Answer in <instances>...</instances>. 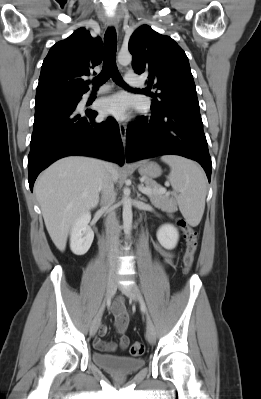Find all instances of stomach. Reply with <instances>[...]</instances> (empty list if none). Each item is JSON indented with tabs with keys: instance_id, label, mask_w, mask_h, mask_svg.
I'll use <instances>...</instances> for the list:
<instances>
[{
	"instance_id": "stomach-1",
	"label": "stomach",
	"mask_w": 261,
	"mask_h": 399,
	"mask_svg": "<svg viewBox=\"0 0 261 399\" xmlns=\"http://www.w3.org/2000/svg\"><path fill=\"white\" fill-rule=\"evenodd\" d=\"M139 173L149 178H156L161 175L160 166L152 161H144L139 164Z\"/></svg>"
}]
</instances>
